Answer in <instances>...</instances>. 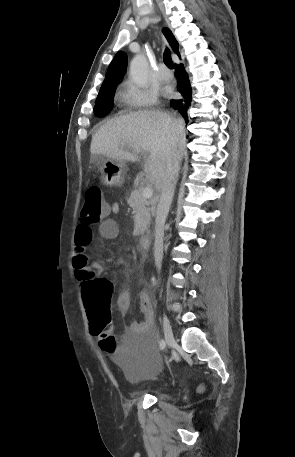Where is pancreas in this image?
Listing matches in <instances>:
<instances>
[{
	"label": "pancreas",
	"mask_w": 295,
	"mask_h": 457,
	"mask_svg": "<svg viewBox=\"0 0 295 457\" xmlns=\"http://www.w3.org/2000/svg\"><path fill=\"white\" fill-rule=\"evenodd\" d=\"M127 203L133 210L134 220V235L140 236L144 233H149L151 223V213L153 208H150V201L142 195V189H135L131 192Z\"/></svg>",
	"instance_id": "cf45deb5"
}]
</instances>
